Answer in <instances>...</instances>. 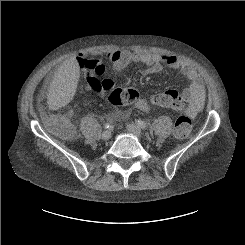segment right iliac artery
Listing matches in <instances>:
<instances>
[{"label": "right iliac artery", "mask_w": 245, "mask_h": 245, "mask_svg": "<svg viewBox=\"0 0 245 245\" xmlns=\"http://www.w3.org/2000/svg\"><path fill=\"white\" fill-rule=\"evenodd\" d=\"M104 127L107 128V129H108V128L111 129V128H112V125L109 124V123H106V124L104 125Z\"/></svg>", "instance_id": "obj_1"}]
</instances>
